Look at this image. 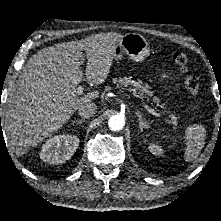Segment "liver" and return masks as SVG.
<instances>
[{
  "label": "liver",
  "instance_id": "obj_1",
  "mask_svg": "<svg viewBox=\"0 0 221 221\" xmlns=\"http://www.w3.org/2000/svg\"><path fill=\"white\" fill-rule=\"evenodd\" d=\"M122 37L113 32L91 35L49 46L28 60L10 94L4 121L8 143L16 155L27 153L53 135L81 105L98 97V92L77 94L83 78V50L86 78L99 85L108 77Z\"/></svg>",
  "mask_w": 221,
  "mask_h": 221
}]
</instances>
